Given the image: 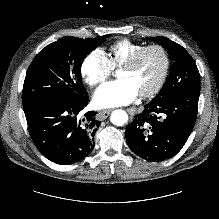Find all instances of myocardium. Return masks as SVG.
I'll list each match as a JSON object with an SVG mask.
<instances>
[{"mask_svg": "<svg viewBox=\"0 0 219 219\" xmlns=\"http://www.w3.org/2000/svg\"><path fill=\"white\" fill-rule=\"evenodd\" d=\"M150 50H158L163 57V69L158 78L157 82L148 90L140 92L139 96L141 98H150L156 95L166 83L168 78L170 67H171V59L167 49L160 44H150L142 47L136 53H134L128 60H126L121 66L120 69H131L136 66L141 57Z\"/></svg>", "mask_w": 219, "mask_h": 219, "instance_id": "f54148a6", "label": "myocardium"}]
</instances>
